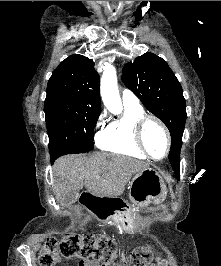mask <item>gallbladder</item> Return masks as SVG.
I'll use <instances>...</instances> for the list:
<instances>
[{"label":"gallbladder","instance_id":"bac80fb5","mask_svg":"<svg viewBox=\"0 0 221 266\" xmlns=\"http://www.w3.org/2000/svg\"><path fill=\"white\" fill-rule=\"evenodd\" d=\"M79 196V192L76 190L68 191L62 198L61 202L65 205L73 204Z\"/></svg>","mask_w":221,"mask_h":266}]
</instances>
